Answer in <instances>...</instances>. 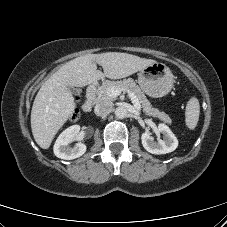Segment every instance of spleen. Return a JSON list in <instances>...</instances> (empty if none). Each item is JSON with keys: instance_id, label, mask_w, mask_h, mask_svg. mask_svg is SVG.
<instances>
[{"instance_id": "1", "label": "spleen", "mask_w": 227, "mask_h": 227, "mask_svg": "<svg viewBox=\"0 0 227 227\" xmlns=\"http://www.w3.org/2000/svg\"><path fill=\"white\" fill-rule=\"evenodd\" d=\"M199 113H200V105L199 101L196 97H192L188 102L186 106V112H185V122L186 126L193 130L198 123L199 120Z\"/></svg>"}]
</instances>
